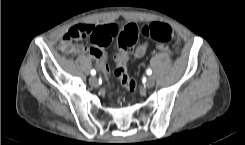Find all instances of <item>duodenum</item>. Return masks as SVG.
<instances>
[{
    "instance_id": "duodenum-1",
    "label": "duodenum",
    "mask_w": 245,
    "mask_h": 145,
    "mask_svg": "<svg viewBox=\"0 0 245 145\" xmlns=\"http://www.w3.org/2000/svg\"><path fill=\"white\" fill-rule=\"evenodd\" d=\"M86 52H84V51H81V52H78V54H85Z\"/></svg>"
}]
</instances>
